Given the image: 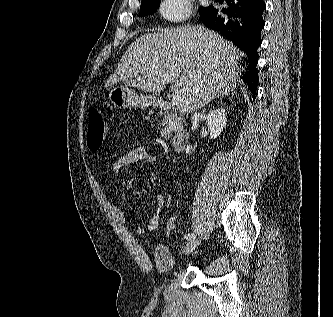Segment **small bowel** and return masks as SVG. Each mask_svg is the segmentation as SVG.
Returning a JSON list of instances; mask_svg holds the SVG:
<instances>
[{
	"label": "small bowel",
	"instance_id": "c3829d8e",
	"mask_svg": "<svg viewBox=\"0 0 333 317\" xmlns=\"http://www.w3.org/2000/svg\"><path fill=\"white\" fill-rule=\"evenodd\" d=\"M156 161L155 156L150 153L144 146H135L128 149L124 154L115 160L111 170L113 173L120 172L123 168L133 164H152ZM174 200L171 192L165 195H157L149 221L141 227L134 228L137 234H144L154 231L159 227L160 215L165 210L166 215L173 210ZM120 216L123 218L122 213ZM165 231V226L163 227Z\"/></svg>",
	"mask_w": 333,
	"mask_h": 317
}]
</instances>
